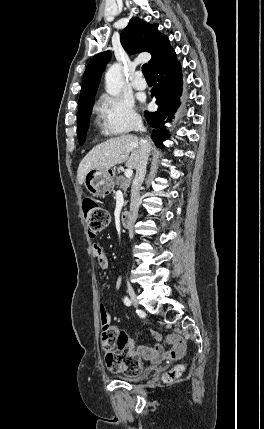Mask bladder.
I'll return each instance as SVG.
<instances>
[{
  "mask_svg": "<svg viewBox=\"0 0 264 429\" xmlns=\"http://www.w3.org/2000/svg\"><path fill=\"white\" fill-rule=\"evenodd\" d=\"M152 371H153L152 368H146L145 370L138 373L137 375H126V376H122L120 379L128 381V382L141 381V380H144L147 377H149L150 374L152 373Z\"/></svg>",
  "mask_w": 264,
  "mask_h": 429,
  "instance_id": "obj_1",
  "label": "bladder"
}]
</instances>
